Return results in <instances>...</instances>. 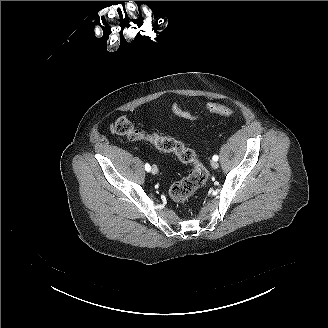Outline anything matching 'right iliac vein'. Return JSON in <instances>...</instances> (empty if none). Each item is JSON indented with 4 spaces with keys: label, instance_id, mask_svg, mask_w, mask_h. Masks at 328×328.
I'll return each mask as SVG.
<instances>
[{
    "label": "right iliac vein",
    "instance_id": "63e3f726",
    "mask_svg": "<svg viewBox=\"0 0 328 328\" xmlns=\"http://www.w3.org/2000/svg\"><path fill=\"white\" fill-rule=\"evenodd\" d=\"M151 173L154 174V175H156L158 173V168H157L156 165L152 166Z\"/></svg>",
    "mask_w": 328,
    "mask_h": 328
}]
</instances>
